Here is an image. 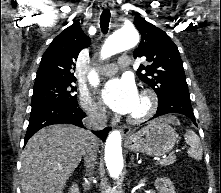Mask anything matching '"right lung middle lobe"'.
I'll return each instance as SVG.
<instances>
[{"label": "right lung middle lobe", "mask_w": 221, "mask_h": 193, "mask_svg": "<svg viewBox=\"0 0 221 193\" xmlns=\"http://www.w3.org/2000/svg\"><path fill=\"white\" fill-rule=\"evenodd\" d=\"M72 82H50L34 85L31 106L36 107L49 103L65 102L69 104H78L77 95L73 92L76 88Z\"/></svg>", "instance_id": "right-lung-middle-lobe-1"}]
</instances>
